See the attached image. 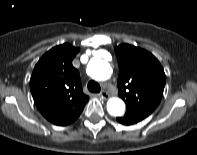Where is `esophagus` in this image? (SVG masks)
Instances as JSON below:
<instances>
[{
  "label": "esophagus",
  "instance_id": "obj_1",
  "mask_svg": "<svg viewBox=\"0 0 197 155\" xmlns=\"http://www.w3.org/2000/svg\"><path fill=\"white\" fill-rule=\"evenodd\" d=\"M100 96L104 100H106V99H108L110 97V95L107 92H105V91L101 92Z\"/></svg>",
  "mask_w": 197,
  "mask_h": 155
}]
</instances>
